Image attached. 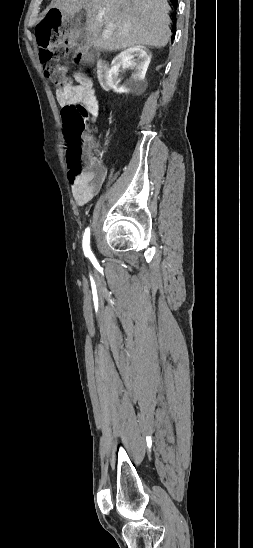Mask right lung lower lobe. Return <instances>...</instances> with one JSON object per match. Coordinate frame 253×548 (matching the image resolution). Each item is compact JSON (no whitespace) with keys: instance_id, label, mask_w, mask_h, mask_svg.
<instances>
[{"instance_id":"98d812e1","label":"right lung lower lobe","mask_w":253,"mask_h":548,"mask_svg":"<svg viewBox=\"0 0 253 548\" xmlns=\"http://www.w3.org/2000/svg\"><path fill=\"white\" fill-rule=\"evenodd\" d=\"M170 1H171V3H172L173 7L176 9V8H177V4H178V0H170ZM174 19L176 20V15H175Z\"/></svg>"}]
</instances>
